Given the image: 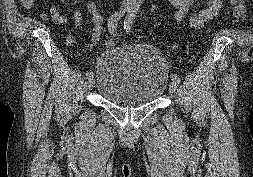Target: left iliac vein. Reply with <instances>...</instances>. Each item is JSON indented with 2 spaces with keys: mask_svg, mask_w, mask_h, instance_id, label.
<instances>
[{
  "mask_svg": "<svg viewBox=\"0 0 253 177\" xmlns=\"http://www.w3.org/2000/svg\"><path fill=\"white\" fill-rule=\"evenodd\" d=\"M169 89H170V92H171L172 94H175L176 91H177V89H178L177 83H176L175 81L172 80V81L170 82V84H169Z\"/></svg>",
  "mask_w": 253,
  "mask_h": 177,
  "instance_id": "4c4485c4",
  "label": "left iliac vein"
}]
</instances>
